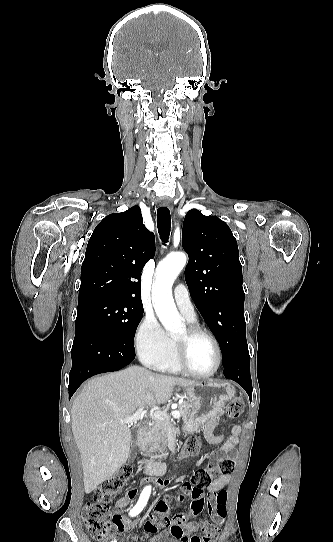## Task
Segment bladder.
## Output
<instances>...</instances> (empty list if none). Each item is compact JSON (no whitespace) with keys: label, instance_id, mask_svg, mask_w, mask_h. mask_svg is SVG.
<instances>
[{"label":"bladder","instance_id":"31cf9c89","mask_svg":"<svg viewBox=\"0 0 333 542\" xmlns=\"http://www.w3.org/2000/svg\"><path fill=\"white\" fill-rule=\"evenodd\" d=\"M163 539H157L154 542H179L178 539H175L174 536L161 537Z\"/></svg>","mask_w":333,"mask_h":542}]
</instances>
